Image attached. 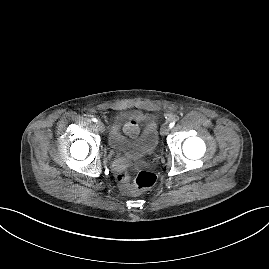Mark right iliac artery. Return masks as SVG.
Segmentation results:
<instances>
[{
	"mask_svg": "<svg viewBox=\"0 0 269 269\" xmlns=\"http://www.w3.org/2000/svg\"><path fill=\"white\" fill-rule=\"evenodd\" d=\"M92 121L93 122H97L98 120L96 118H92Z\"/></svg>",
	"mask_w": 269,
	"mask_h": 269,
	"instance_id": "1",
	"label": "right iliac artery"
}]
</instances>
